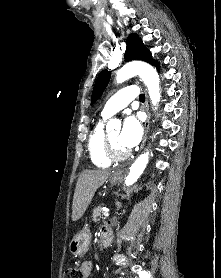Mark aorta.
<instances>
[{
  "label": "aorta",
  "instance_id": "aorta-1",
  "mask_svg": "<svg viewBox=\"0 0 221 278\" xmlns=\"http://www.w3.org/2000/svg\"><path fill=\"white\" fill-rule=\"evenodd\" d=\"M139 75L147 86L149 97L153 106L160 101V80L156 70L149 64L133 61L124 65L116 74V82L122 83L129 78ZM149 161V153L141 154L130 167V172L125 179L127 186L133 185L143 173Z\"/></svg>",
  "mask_w": 221,
  "mask_h": 278
}]
</instances>
